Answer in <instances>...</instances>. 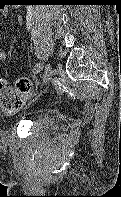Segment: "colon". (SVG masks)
<instances>
[{
    "label": "colon",
    "mask_w": 121,
    "mask_h": 197,
    "mask_svg": "<svg viewBox=\"0 0 121 197\" xmlns=\"http://www.w3.org/2000/svg\"><path fill=\"white\" fill-rule=\"evenodd\" d=\"M31 90L32 83L28 79H19L12 87L0 78V111L8 116L18 113Z\"/></svg>",
    "instance_id": "obj_1"
}]
</instances>
